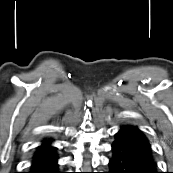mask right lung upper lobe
Masks as SVG:
<instances>
[{
    "label": "right lung upper lobe",
    "mask_w": 173,
    "mask_h": 173,
    "mask_svg": "<svg viewBox=\"0 0 173 173\" xmlns=\"http://www.w3.org/2000/svg\"><path fill=\"white\" fill-rule=\"evenodd\" d=\"M51 141H52L51 139H48V140L44 139V140L42 141V146H43V145H48V144H50Z\"/></svg>",
    "instance_id": "1"
}]
</instances>
